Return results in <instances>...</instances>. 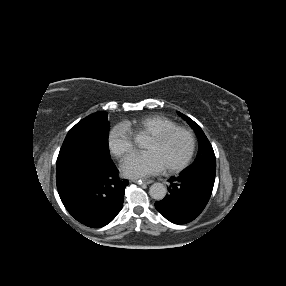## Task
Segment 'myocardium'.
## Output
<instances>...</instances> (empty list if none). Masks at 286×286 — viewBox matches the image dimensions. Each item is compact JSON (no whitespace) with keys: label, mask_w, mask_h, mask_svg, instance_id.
<instances>
[{"label":"myocardium","mask_w":286,"mask_h":286,"mask_svg":"<svg viewBox=\"0 0 286 286\" xmlns=\"http://www.w3.org/2000/svg\"><path fill=\"white\" fill-rule=\"evenodd\" d=\"M178 132H186L189 134V136L191 138V147H190V150H189L187 156L181 162H179L175 165L163 168V170L165 172L172 173V172L180 171V170L184 169L190 163V161L192 160V158L194 156L195 150H196L195 133L193 132V130H191L189 128L179 126V127L173 128V129H168V130H164V131L155 133L153 135H150V137H149L150 139H152L154 141L160 142V141L166 140L167 138L171 137L172 135H174L175 133H178Z\"/></svg>","instance_id":"1"}]
</instances>
